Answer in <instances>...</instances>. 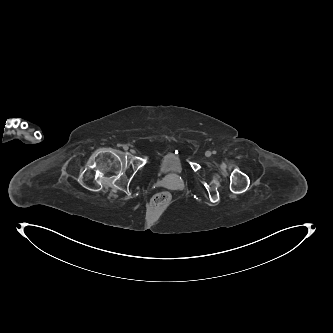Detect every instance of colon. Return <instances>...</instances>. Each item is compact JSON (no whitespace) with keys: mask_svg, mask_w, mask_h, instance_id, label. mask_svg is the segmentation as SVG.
I'll use <instances>...</instances> for the list:
<instances>
[{"mask_svg":"<svg viewBox=\"0 0 333 333\" xmlns=\"http://www.w3.org/2000/svg\"><path fill=\"white\" fill-rule=\"evenodd\" d=\"M172 202V195L168 191L155 194L151 200V206L156 210H165Z\"/></svg>","mask_w":333,"mask_h":333,"instance_id":"5ec220e1","label":"colon"}]
</instances>
